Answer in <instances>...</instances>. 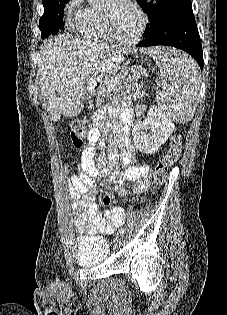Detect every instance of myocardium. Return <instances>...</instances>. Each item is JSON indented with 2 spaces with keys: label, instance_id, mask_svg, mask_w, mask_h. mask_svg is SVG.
Masks as SVG:
<instances>
[{
  "label": "myocardium",
  "instance_id": "obj_1",
  "mask_svg": "<svg viewBox=\"0 0 227 315\" xmlns=\"http://www.w3.org/2000/svg\"><path fill=\"white\" fill-rule=\"evenodd\" d=\"M114 1H118V0H114ZM121 1L126 2L129 5H131L139 14L140 19H141V23H140V27H139L138 32L130 38L121 37L120 35H118L115 32V30L112 26L109 12L102 8L101 14H102V19H103V24H104V27H105L108 35L112 39L120 41V42H124V43H135L143 36V34L147 28L148 16H147L146 12L143 10V8L135 0H121Z\"/></svg>",
  "mask_w": 227,
  "mask_h": 315
}]
</instances>
